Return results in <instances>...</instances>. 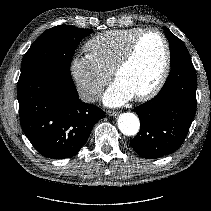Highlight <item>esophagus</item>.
Masks as SVG:
<instances>
[{
  "mask_svg": "<svg viewBox=\"0 0 211 211\" xmlns=\"http://www.w3.org/2000/svg\"><path fill=\"white\" fill-rule=\"evenodd\" d=\"M107 115L110 116V117L117 116L118 115V111L108 110L107 111Z\"/></svg>",
  "mask_w": 211,
  "mask_h": 211,
  "instance_id": "esophagus-1",
  "label": "esophagus"
}]
</instances>
